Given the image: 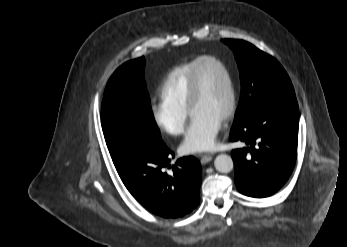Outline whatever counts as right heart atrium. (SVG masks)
Listing matches in <instances>:
<instances>
[{"label": "right heart atrium", "instance_id": "obj_1", "mask_svg": "<svg viewBox=\"0 0 347 247\" xmlns=\"http://www.w3.org/2000/svg\"><path fill=\"white\" fill-rule=\"evenodd\" d=\"M151 116L156 127L169 136L183 133L187 122V110L169 105L162 100L151 105Z\"/></svg>", "mask_w": 347, "mask_h": 247}]
</instances>
